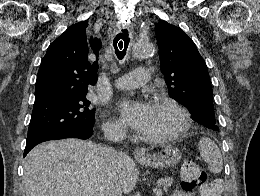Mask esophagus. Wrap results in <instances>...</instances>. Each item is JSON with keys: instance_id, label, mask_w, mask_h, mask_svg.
I'll return each mask as SVG.
<instances>
[{"instance_id": "obj_1", "label": "esophagus", "mask_w": 260, "mask_h": 196, "mask_svg": "<svg viewBox=\"0 0 260 196\" xmlns=\"http://www.w3.org/2000/svg\"><path fill=\"white\" fill-rule=\"evenodd\" d=\"M135 158L137 159H146L147 155L145 154V151L141 149H136L135 150Z\"/></svg>"}]
</instances>
